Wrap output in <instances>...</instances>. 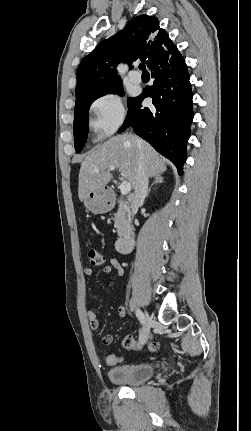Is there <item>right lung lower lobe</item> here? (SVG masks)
Listing matches in <instances>:
<instances>
[{"label": "right lung lower lobe", "mask_w": 251, "mask_h": 431, "mask_svg": "<svg viewBox=\"0 0 251 431\" xmlns=\"http://www.w3.org/2000/svg\"><path fill=\"white\" fill-rule=\"evenodd\" d=\"M150 69L154 84L128 101L127 118L119 132L131 126L137 135L170 159L182 174L193 119L187 66L175 47L167 60ZM146 97L153 98L154 107L142 108L141 102Z\"/></svg>", "instance_id": "obj_1"}]
</instances>
